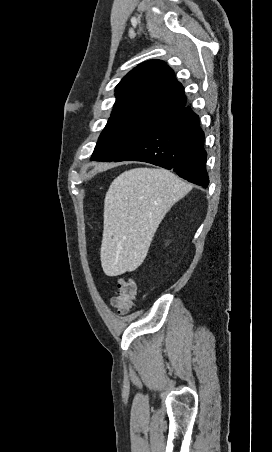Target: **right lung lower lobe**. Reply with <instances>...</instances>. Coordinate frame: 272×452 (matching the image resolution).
I'll return each mask as SVG.
<instances>
[{"mask_svg": "<svg viewBox=\"0 0 272 452\" xmlns=\"http://www.w3.org/2000/svg\"><path fill=\"white\" fill-rule=\"evenodd\" d=\"M207 153L199 118L189 107L160 115L114 162L142 161L171 169L185 180L207 188Z\"/></svg>", "mask_w": 272, "mask_h": 452, "instance_id": "98d812e1", "label": "right lung lower lobe"}]
</instances>
